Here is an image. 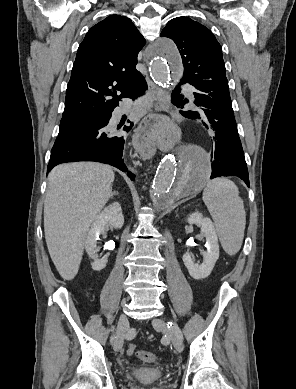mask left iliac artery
<instances>
[{
	"instance_id": "1",
	"label": "left iliac artery",
	"mask_w": 296,
	"mask_h": 389,
	"mask_svg": "<svg viewBox=\"0 0 296 389\" xmlns=\"http://www.w3.org/2000/svg\"><path fill=\"white\" fill-rule=\"evenodd\" d=\"M167 326L169 329H172L181 339H183L182 332H181L180 328L175 323L168 322Z\"/></svg>"
}]
</instances>
